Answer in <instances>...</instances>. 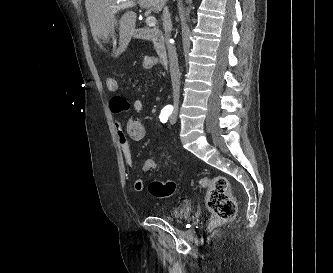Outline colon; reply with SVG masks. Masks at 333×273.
I'll use <instances>...</instances> for the list:
<instances>
[{
	"instance_id": "1",
	"label": "colon",
	"mask_w": 333,
	"mask_h": 273,
	"mask_svg": "<svg viewBox=\"0 0 333 273\" xmlns=\"http://www.w3.org/2000/svg\"><path fill=\"white\" fill-rule=\"evenodd\" d=\"M150 64H157V60L151 57ZM107 89L110 92H117L118 82L113 78L106 80ZM156 168V162L147 158L142 162V169L145 172H152ZM201 187L206 191L207 207L215 223L232 220L237 212V205L231 194L230 184L224 176L207 177L201 180ZM176 185L172 180H154L149 185L150 193L157 198H167L174 194Z\"/></svg>"
}]
</instances>
